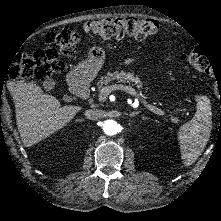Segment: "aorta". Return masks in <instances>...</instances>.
<instances>
[{
  "mask_svg": "<svg viewBox=\"0 0 221 221\" xmlns=\"http://www.w3.org/2000/svg\"><path fill=\"white\" fill-rule=\"evenodd\" d=\"M118 128H119V125L114 120L109 119L103 122L102 129L104 133L107 135H110V136L115 135L118 132Z\"/></svg>",
  "mask_w": 221,
  "mask_h": 221,
  "instance_id": "obj_1",
  "label": "aorta"
}]
</instances>
